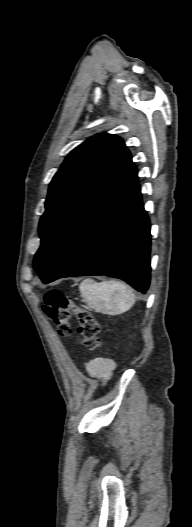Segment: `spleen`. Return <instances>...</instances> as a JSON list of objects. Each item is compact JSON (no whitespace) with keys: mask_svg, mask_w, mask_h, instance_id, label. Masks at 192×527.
Returning a JSON list of instances; mask_svg holds the SVG:
<instances>
[{"mask_svg":"<svg viewBox=\"0 0 192 527\" xmlns=\"http://www.w3.org/2000/svg\"><path fill=\"white\" fill-rule=\"evenodd\" d=\"M79 289L89 307L111 314L128 311L136 299L131 287L114 280L97 283L87 278L81 282Z\"/></svg>","mask_w":192,"mask_h":527,"instance_id":"1","label":"spleen"}]
</instances>
